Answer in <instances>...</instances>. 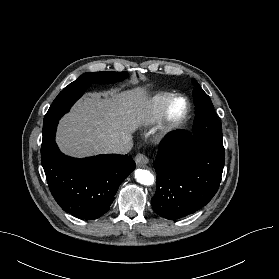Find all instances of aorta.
I'll list each match as a JSON object with an SVG mask.
<instances>
[{"mask_svg":"<svg viewBox=\"0 0 279 279\" xmlns=\"http://www.w3.org/2000/svg\"><path fill=\"white\" fill-rule=\"evenodd\" d=\"M135 178L142 185L150 186L154 183V176L148 170L137 169L135 171Z\"/></svg>","mask_w":279,"mask_h":279,"instance_id":"aorta-1","label":"aorta"}]
</instances>
